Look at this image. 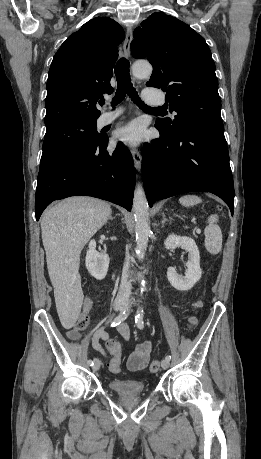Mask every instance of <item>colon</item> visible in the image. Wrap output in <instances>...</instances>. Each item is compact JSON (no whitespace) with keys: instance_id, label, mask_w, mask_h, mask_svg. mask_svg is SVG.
<instances>
[{"instance_id":"obj_1","label":"colon","mask_w":261,"mask_h":459,"mask_svg":"<svg viewBox=\"0 0 261 459\" xmlns=\"http://www.w3.org/2000/svg\"><path fill=\"white\" fill-rule=\"evenodd\" d=\"M203 306V302L201 300H197L193 303V308L198 309ZM89 323V318L87 315L81 314L80 317L78 318L75 329L76 330H84ZM198 323V318L196 315L192 314L187 318V325L188 327H194ZM106 348L108 352L113 356L112 360L109 362L108 366L109 369L117 373L120 370V364H121V352H122V347L119 341L115 339H109L106 342ZM149 369L151 372H157L160 369V362L158 360H153L150 363Z\"/></svg>"}]
</instances>
